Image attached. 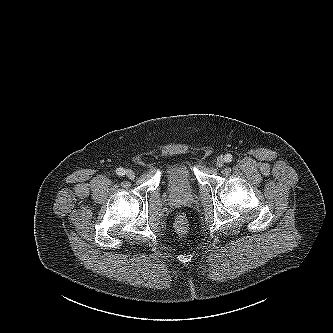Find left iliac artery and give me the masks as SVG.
<instances>
[{
  "label": "left iliac artery",
  "instance_id": "left-iliac-artery-1",
  "mask_svg": "<svg viewBox=\"0 0 333 333\" xmlns=\"http://www.w3.org/2000/svg\"><path fill=\"white\" fill-rule=\"evenodd\" d=\"M232 159H233V156L231 154L225 155V162L229 163L232 161Z\"/></svg>",
  "mask_w": 333,
  "mask_h": 333
}]
</instances>
